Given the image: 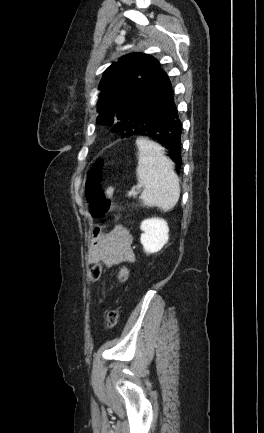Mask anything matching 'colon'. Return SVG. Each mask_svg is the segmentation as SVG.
<instances>
[{"label":"colon","instance_id":"5ec220e1","mask_svg":"<svg viewBox=\"0 0 264 433\" xmlns=\"http://www.w3.org/2000/svg\"><path fill=\"white\" fill-rule=\"evenodd\" d=\"M105 160L99 158L93 163L85 188V196L89 203V210L95 217H103L113 209L112 202L107 199L103 190V176L105 168ZM106 228V225L103 226ZM102 273V266L100 263L94 264L89 269V279L91 282H97ZM118 278L122 283L127 282L129 278V271L126 267H120L117 272ZM118 322V311L111 308L107 311L105 317L106 328H113Z\"/></svg>","mask_w":264,"mask_h":433}]
</instances>
